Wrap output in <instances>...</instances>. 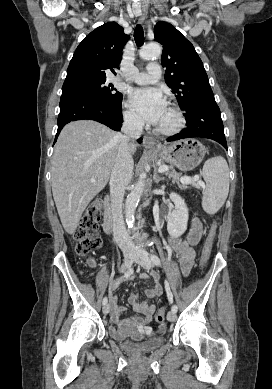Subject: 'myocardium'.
Instances as JSON below:
<instances>
[{"instance_id": "1", "label": "myocardium", "mask_w": 272, "mask_h": 389, "mask_svg": "<svg viewBox=\"0 0 272 389\" xmlns=\"http://www.w3.org/2000/svg\"><path fill=\"white\" fill-rule=\"evenodd\" d=\"M168 108L174 115V121L170 126L167 127L156 126L154 132L157 134L166 136L174 135L178 133L185 125V117L182 110L174 104H170Z\"/></svg>"}]
</instances>
